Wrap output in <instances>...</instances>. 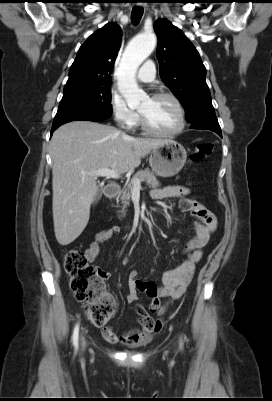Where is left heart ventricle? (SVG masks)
Masks as SVG:
<instances>
[{"mask_svg":"<svg viewBox=\"0 0 272 401\" xmlns=\"http://www.w3.org/2000/svg\"><path fill=\"white\" fill-rule=\"evenodd\" d=\"M148 124L160 131H172L179 124V112L174 102L167 98H147L138 109Z\"/></svg>","mask_w":272,"mask_h":401,"instance_id":"b2bd125f","label":"left heart ventricle"}]
</instances>
